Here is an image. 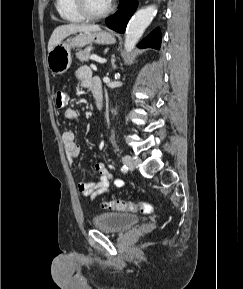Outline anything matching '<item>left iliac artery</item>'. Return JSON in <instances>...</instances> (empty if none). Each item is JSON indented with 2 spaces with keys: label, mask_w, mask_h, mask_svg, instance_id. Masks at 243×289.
Masks as SVG:
<instances>
[{
  "label": "left iliac artery",
  "mask_w": 243,
  "mask_h": 289,
  "mask_svg": "<svg viewBox=\"0 0 243 289\" xmlns=\"http://www.w3.org/2000/svg\"><path fill=\"white\" fill-rule=\"evenodd\" d=\"M121 170H122L123 172H126V171L128 170V168L124 165V166L121 168Z\"/></svg>",
  "instance_id": "left-iliac-artery-1"
}]
</instances>
